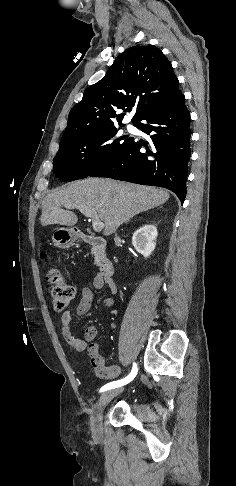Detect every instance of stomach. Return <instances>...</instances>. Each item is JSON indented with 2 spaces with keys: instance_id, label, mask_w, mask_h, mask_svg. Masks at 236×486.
<instances>
[{
  "instance_id": "1",
  "label": "stomach",
  "mask_w": 236,
  "mask_h": 486,
  "mask_svg": "<svg viewBox=\"0 0 236 486\" xmlns=\"http://www.w3.org/2000/svg\"><path fill=\"white\" fill-rule=\"evenodd\" d=\"M76 240V232L73 228H55L52 232V241L56 247L65 248Z\"/></svg>"
}]
</instances>
